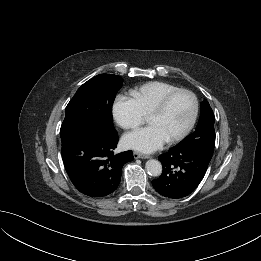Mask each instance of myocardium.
Wrapping results in <instances>:
<instances>
[{
    "mask_svg": "<svg viewBox=\"0 0 261 261\" xmlns=\"http://www.w3.org/2000/svg\"><path fill=\"white\" fill-rule=\"evenodd\" d=\"M181 94H185L188 95L191 99H192V103H193V109H192V113H191V117L190 120L188 122V124L186 125V127L179 132L178 134L168 138V140L170 142H176L179 141L181 139H183L184 137H186L189 132L192 130V128L195 125V122L197 120L198 117V112H199V101L198 98L196 96V94L190 90L187 89H179L176 90L170 94H168L150 113L149 116L151 115H158V114H162L164 113L167 108L169 107V105L171 104V102L179 95Z\"/></svg>",
    "mask_w": 261,
    "mask_h": 261,
    "instance_id": "myocardium-1",
    "label": "myocardium"
}]
</instances>
